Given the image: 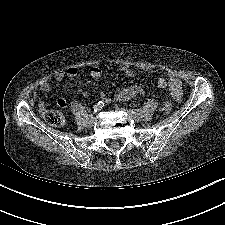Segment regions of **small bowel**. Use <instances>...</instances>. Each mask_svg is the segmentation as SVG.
<instances>
[{
  "instance_id": "obj_1",
  "label": "small bowel",
  "mask_w": 225,
  "mask_h": 225,
  "mask_svg": "<svg viewBox=\"0 0 225 225\" xmlns=\"http://www.w3.org/2000/svg\"><path fill=\"white\" fill-rule=\"evenodd\" d=\"M120 70L128 77L132 78L134 76L133 70L128 65L120 66ZM79 74V70L76 67H69L65 70H58L54 73V79L59 81L65 77L68 78H76ZM90 76L94 79H99L102 76V70L94 66L90 69ZM159 88L169 87L171 91V95L175 101H180L182 99V87L181 82L176 76H171L169 80L160 77L157 81ZM40 91L46 93L51 89L50 83L47 80H42L39 83ZM142 93V88L137 84H132L127 87L121 88L115 94V99L120 102H125L131 100L133 97ZM100 100L103 103L109 104L111 102V97L106 93L100 94ZM58 105L64 107L66 105V100L64 98H60L57 101ZM40 110L43 112L46 109L45 103H39Z\"/></svg>"
}]
</instances>
